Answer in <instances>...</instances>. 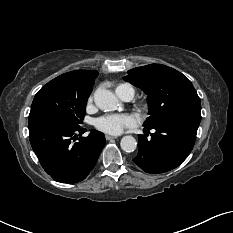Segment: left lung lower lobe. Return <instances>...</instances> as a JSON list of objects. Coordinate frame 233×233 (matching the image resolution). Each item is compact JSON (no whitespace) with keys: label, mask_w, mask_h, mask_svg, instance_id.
<instances>
[{"label":"left lung lower lobe","mask_w":233,"mask_h":233,"mask_svg":"<svg viewBox=\"0 0 233 233\" xmlns=\"http://www.w3.org/2000/svg\"><path fill=\"white\" fill-rule=\"evenodd\" d=\"M200 120L195 118L162 119L144 126L133 161L147 173H163L178 167L193 149ZM150 129L155 133L147 139Z\"/></svg>","instance_id":"obj_1"}]
</instances>
